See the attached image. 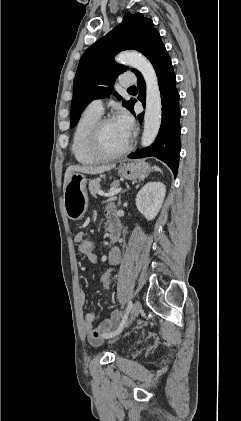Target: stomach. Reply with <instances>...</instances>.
I'll use <instances>...</instances> for the list:
<instances>
[{"label":"stomach","instance_id":"obj_1","mask_svg":"<svg viewBox=\"0 0 241 421\" xmlns=\"http://www.w3.org/2000/svg\"><path fill=\"white\" fill-rule=\"evenodd\" d=\"M150 166L144 161L122 163L118 174L126 180L144 179L150 173ZM86 177L81 173H73L64 190V209L69 219L78 221L83 218L88 208Z\"/></svg>","mask_w":241,"mask_h":421}]
</instances>
